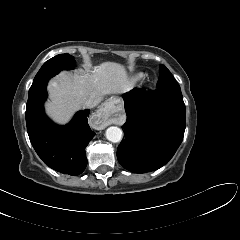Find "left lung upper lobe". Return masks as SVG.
I'll return each mask as SVG.
<instances>
[{"label": "left lung upper lobe", "instance_id": "obj_1", "mask_svg": "<svg viewBox=\"0 0 240 240\" xmlns=\"http://www.w3.org/2000/svg\"><path fill=\"white\" fill-rule=\"evenodd\" d=\"M162 87L180 88L171 72L164 65L160 66V76L157 83V88Z\"/></svg>", "mask_w": 240, "mask_h": 240}]
</instances>
